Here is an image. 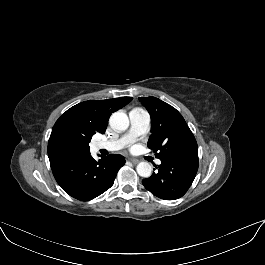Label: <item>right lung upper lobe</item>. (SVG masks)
I'll return each instance as SVG.
<instances>
[{"label":"right lung upper lobe","mask_w":265,"mask_h":265,"mask_svg":"<svg viewBox=\"0 0 265 265\" xmlns=\"http://www.w3.org/2000/svg\"><path fill=\"white\" fill-rule=\"evenodd\" d=\"M132 97L81 102L63 113L53 126L49 142L48 157L51 167L61 162L83 156L70 144L74 136L92 137L105 133L111 113L126 106Z\"/></svg>","instance_id":"right-lung-upper-lobe-1"}]
</instances>
